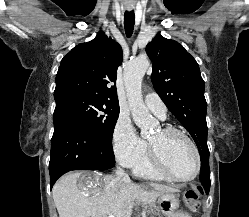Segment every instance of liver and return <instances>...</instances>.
I'll return each instance as SVG.
<instances>
[{
    "instance_id": "6515ba94",
    "label": "liver",
    "mask_w": 249,
    "mask_h": 217,
    "mask_svg": "<svg viewBox=\"0 0 249 217\" xmlns=\"http://www.w3.org/2000/svg\"><path fill=\"white\" fill-rule=\"evenodd\" d=\"M79 178L85 185H77ZM151 190H144L130 180L117 179L98 172H72L61 177L54 185L52 195L59 217H125L140 202L153 205L161 194L176 192L170 186L151 183Z\"/></svg>"
}]
</instances>
